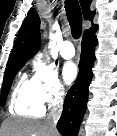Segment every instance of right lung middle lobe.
<instances>
[{
    "label": "right lung middle lobe",
    "mask_w": 117,
    "mask_h": 136,
    "mask_svg": "<svg viewBox=\"0 0 117 136\" xmlns=\"http://www.w3.org/2000/svg\"><path fill=\"white\" fill-rule=\"evenodd\" d=\"M26 61L27 60H17L7 64L4 80H3V86L1 90V105L2 106L5 105L6 98H7L8 92L10 90V87L12 85L15 75L24 66Z\"/></svg>",
    "instance_id": "obj_1"
}]
</instances>
